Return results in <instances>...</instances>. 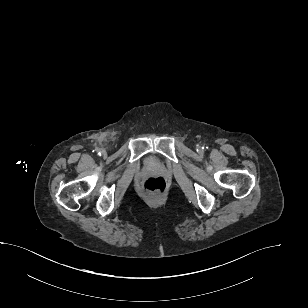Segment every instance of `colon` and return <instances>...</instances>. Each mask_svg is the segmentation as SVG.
<instances>
[{
    "label": "colon",
    "mask_w": 308,
    "mask_h": 308,
    "mask_svg": "<svg viewBox=\"0 0 308 308\" xmlns=\"http://www.w3.org/2000/svg\"><path fill=\"white\" fill-rule=\"evenodd\" d=\"M143 190L150 197L162 195L167 189L166 180L161 177H150L143 182Z\"/></svg>",
    "instance_id": "5ec220e1"
}]
</instances>
